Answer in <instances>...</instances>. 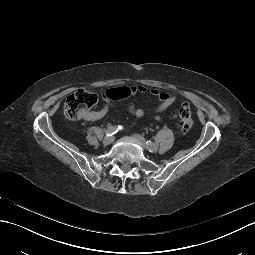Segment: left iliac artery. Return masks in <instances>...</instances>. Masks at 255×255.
<instances>
[{"instance_id": "1", "label": "left iliac artery", "mask_w": 255, "mask_h": 255, "mask_svg": "<svg viewBox=\"0 0 255 255\" xmlns=\"http://www.w3.org/2000/svg\"><path fill=\"white\" fill-rule=\"evenodd\" d=\"M146 144H147V146L149 147V148H151V147H153V146H155L156 144H154L152 141H146Z\"/></svg>"}]
</instances>
